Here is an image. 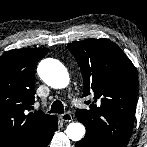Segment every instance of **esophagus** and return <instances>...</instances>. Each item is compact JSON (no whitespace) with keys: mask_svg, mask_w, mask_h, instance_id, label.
<instances>
[{"mask_svg":"<svg viewBox=\"0 0 147 147\" xmlns=\"http://www.w3.org/2000/svg\"><path fill=\"white\" fill-rule=\"evenodd\" d=\"M60 119L64 122H71L72 121V115L70 113H64L60 115Z\"/></svg>","mask_w":147,"mask_h":147,"instance_id":"obj_1","label":"esophagus"}]
</instances>
